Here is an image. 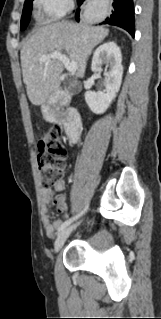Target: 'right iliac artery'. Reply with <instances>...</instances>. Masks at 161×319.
I'll return each mask as SVG.
<instances>
[{
  "mask_svg": "<svg viewBox=\"0 0 161 319\" xmlns=\"http://www.w3.org/2000/svg\"><path fill=\"white\" fill-rule=\"evenodd\" d=\"M87 206L85 207L84 210H86ZM83 212L79 213L78 215H76L73 218L68 219L67 221H65L61 227L58 229V233L61 232L62 230H64L71 222H73L76 218H78Z\"/></svg>",
  "mask_w": 161,
  "mask_h": 319,
  "instance_id": "82829eb1",
  "label": "right iliac artery"
}]
</instances>
